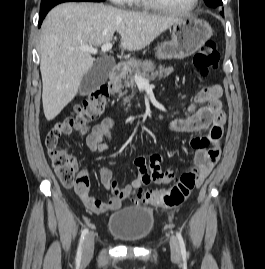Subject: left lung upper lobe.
I'll list each match as a JSON object with an SVG mask.
<instances>
[{
  "mask_svg": "<svg viewBox=\"0 0 265 269\" xmlns=\"http://www.w3.org/2000/svg\"><path fill=\"white\" fill-rule=\"evenodd\" d=\"M205 3L211 8H216L222 5V0H205Z\"/></svg>",
  "mask_w": 265,
  "mask_h": 269,
  "instance_id": "5c2ea615",
  "label": "left lung upper lobe"
}]
</instances>
